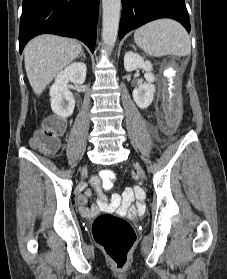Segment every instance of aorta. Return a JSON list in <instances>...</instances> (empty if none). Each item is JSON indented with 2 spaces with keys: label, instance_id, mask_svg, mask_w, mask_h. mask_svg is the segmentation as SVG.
<instances>
[{
  "label": "aorta",
  "instance_id": "aorta-1",
  "mask_svg": "<svg viewBox=\"0 0 227 279\" xmlns=\"http://www.w3.org/2000/svg\"><path fill=\"white\" fill-rule=\"evenodd\" d=\"M102 40L108 47L116 43L121 0H102Z\"/></svg>",
  "mask_w": 227,
  "mask_h": 279
}]
</instances>
